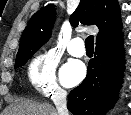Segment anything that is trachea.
I'll return each instance as SVG.
<instances>
[{
	"label": "trachea",
	"instance_id": "trachea-1",
	"mask_svg": "<svg viewBox=\"0 0 131 115\" xmlns=\"http://www.w3.org/2000/svg\"><path fill=\"white\" fill-rule=\"evenodd\" d=\"M85 47H86V49L94 50V37H93V35H90L85 39Z\"/></svg>",
	"mask_w": 131,
	"mask_h": 115
}]
</instances>
